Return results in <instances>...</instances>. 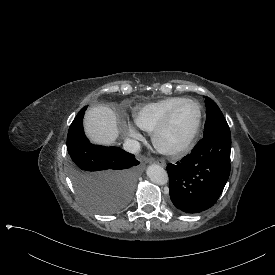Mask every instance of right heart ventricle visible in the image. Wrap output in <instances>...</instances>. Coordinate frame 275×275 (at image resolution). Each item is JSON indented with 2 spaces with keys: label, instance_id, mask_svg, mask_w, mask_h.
<instances>
[{
  "label": "right heart ventricle",
  "instance_id": "right-heart-ventricle-1",
  "mask_svg": "<svg viewBox=\"0 0 275 275\" xmlns=\"http://www.w3.org/2000/svg\"><path fill=\"white\" fill-rule=\"evenodd\" d=\"M183 97H171L145 104L132 111L133 122L146 132H153L164 120L169 110Z\"/></svg>",
  "mask_w": 275,
  "mask_h": 275
}]
</instances>
